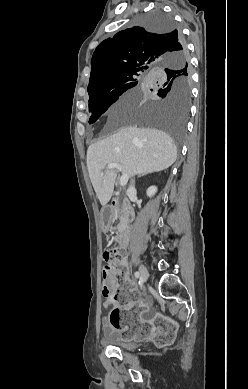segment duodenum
I'll return each instance as SVG.
<instances>
[{"instance_id":"1","label":"duodenum","mask_w":248,"mask_h":389,"mask_svg":"<svg viewBox=\"0 0 248 389\" xmlns=\"http://www.w3.org/2000/svg\"><path fill=\"white\" fill-rule=\"evenodd\" d=\"M110 206L111 207H117L118 206V201L116 199H112L111 202H110ZM122 213H123V218H124V221H125V225H124L122 231L120 232L118 242H119L120 247L123 250H126L127 246H128L129 237H130V229H129V227L126 224L129 221H131L132 218H133V213H132L131 206L130 205L124 206V208L122 210Z\"/></svg>"}]
</instances>
